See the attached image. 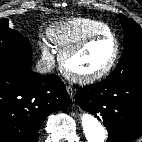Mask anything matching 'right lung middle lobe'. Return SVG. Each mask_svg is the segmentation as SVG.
Returning a JSON list of instances; mask_svg holds the SVG:
<instances>
[{
  "label": "right lung middle lobe",
  "instance_id": "right-lung-middle-lobe-1",
  "mask_svg": "<svg viewBox=\"0 0 142 142\" xmlns=\"http://www.w3.org/2000/svg\"><path fill=\"white\" fill-rule=\"evenodd\" d=\"M32 49L27 37L8 27V19H0V66L32 67Z\"/></svg>",
  "mask_w": 142,
  "mask_h": 142
}]
</instances>
